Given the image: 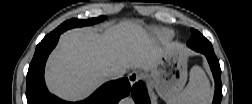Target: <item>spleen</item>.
Wrapping results in <instances>:
<instances>
[{
    "label": "spleen",
    "mask_w": 252,
    "mask_h": 104,
    "mask_svg": "<svg viewBox=\"0 0 252 104\" xmlns=\"http://www.w3.org/2000/svg\"><path fill=\"white\" fill-rule=\"evenodd\" d=\"M211 100V88L204 71L194 66L187 87L175 98L176 104H206Z\"/></svg>",
    "instance_id": "1"
}]
</instances>
